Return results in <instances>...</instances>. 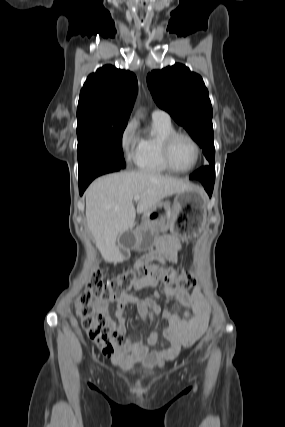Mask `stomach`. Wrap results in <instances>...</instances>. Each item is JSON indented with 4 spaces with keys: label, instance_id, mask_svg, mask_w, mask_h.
Returning a JSON list of instances; mask_svg holds the SVG:
<instances>
[{
    "label": "stomach",
    "instance_id": "stomach-1",
    "mask_svg": "<svg viewBox=\"0 0 285 427\" xmlns=\"http://www.w3.org/2000/svg\"><path fill=\"white\" fill-rule=\"evenodd\" d=\"M208 199L198 188L177 193L173 202L159 203L143 215L140 227L132 232L131 247L146 250L152 247L160 231L190 238L202 232L207 221Z\"/></svg>",
    "mask_w": 285,
    "mask_h": 427
}]
</instances>
